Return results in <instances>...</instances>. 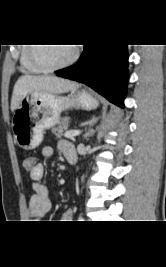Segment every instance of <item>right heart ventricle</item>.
I'll return each mask as SVG.
<instances>
[{"instance_id":"e07e8e85","label":"right heart ventricle","mask_w":166,"mask_h":267,"mask_svg":"<svg viewBox=\"0 0 166 267\" xmlns=\"http://www.w3.org/2000/svg\"><path fill=\"white\" fill-rule=\"evenodd\" d=\"M30 47L23 46L20 51V64L21 67L29 73H43L44 70L36 66L30 57Z\"/></svg>"}]
</instances>
